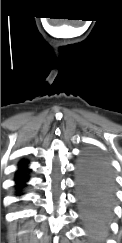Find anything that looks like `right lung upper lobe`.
I'll use <instances>...</instances> for the list:
<instances>
[{
  "instance_id": "right-lung-upper-lobe-1",
  "label": "right lung upper lobe",
  "mask_w": 122,
  "mask_h": 243,
  "mask_svg": "<svg viewBox=\"0 0 122 243\" xmlns=\"http://www.w3.org/2000/svg\"><path fill=\"white\" fill-rule=\"evenodd\" d=\"M25 164H26V162H25V161L20 162V167H24V166H25Z\"/></svg>"
}]
</instances>
